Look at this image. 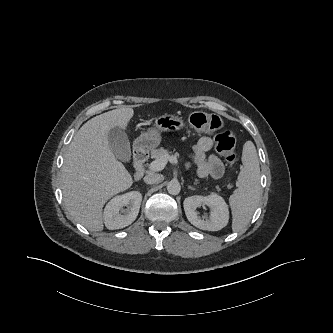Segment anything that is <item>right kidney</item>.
<instances>
[{
	"instance_id": "right-kidney-1",
	"label": "right kidney",
	"mask_w": 333,
	"mask_h": 333,
	"mask_svg": "<svg viewBox=\"0 0 333 333\" xmlns=\"http://www.w3.org/2000/svg\"><path fill=\"white\" fill-rule=\"evenodd\" d=\"M141 201L142 195L138 191H131L111 199L103 213L105 226L114 230L130 225L138 216ZM124 206L127 208L123 209Z\"/></svg>"
}]
</instances>
